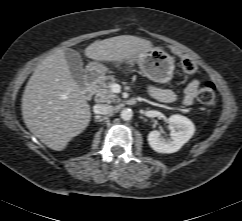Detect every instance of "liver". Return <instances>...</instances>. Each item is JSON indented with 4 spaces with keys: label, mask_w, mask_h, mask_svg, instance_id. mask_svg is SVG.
<instances>
[{
    "label": "liver",
    "mask_w": 242,
    "mask_h": 221,
    "mask_svg": "<svg viewBox=\"0 0 242 221\" xmlns=\"http://www.w3.org/2000/svg\"><path fill=\"white\" fill-rule=\"evenodd\" d=\"M151 48L148 40L121 35L91 43L85 55L96 61L120 62ZM22 115L30 132L55 151L64 150L88 126L90 106L71 76L64 50L36 67L23 93Z\"/></svg>",
    "instance_id": "obj_1"
}]
</instances>
